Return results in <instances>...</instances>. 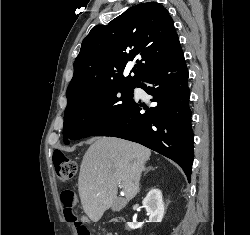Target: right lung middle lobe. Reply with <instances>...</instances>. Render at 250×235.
<instances>
[{
	"label": "right lung middle lobe",
	"instance_id": "right-lung-middle-lobe-1",
	"mask_svg": "<svg viewBox=\"0 0 250 235\" xmlns=\"http://www.w3.org/2000/svg\"><path fill=\"white\" fill-rule=\"evenodd\" d=\"M134 88L107 87L69 102L64 114V143L93 136L129 105Z\"/></svg>",
	"mask_w": 250,
	"mask_h": 235
}]
</instances>
